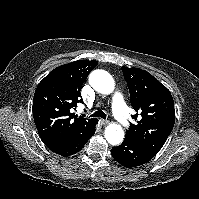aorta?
<instances>
[{
    "label": "aorta",
    "mask_w": 199,
    "mask_h": 199,
    "mask_svg": "<svg viewBox=\"0 0 199 199\" xmlns=\"http://www.w3.org/2000/svg\"><path fill=\"white\" fill-rule=\"evenodd\" d=\"M89 83L93 89L102 94H110L114 90V79L104 70H94L89 75ZM105 138L111 145H118L123 141V128L116 123L109 124L105 129Z\"/></svg>",
    "instance_id": "aorta-1"
}]
</instances>
